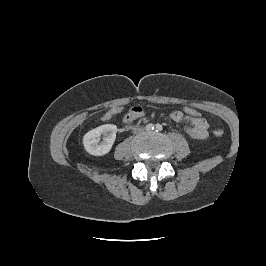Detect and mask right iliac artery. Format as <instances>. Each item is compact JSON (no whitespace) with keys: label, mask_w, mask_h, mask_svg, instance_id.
Here are the masks:
<instances>
[{"label":"right iliac artery","mask_w":266,"mask_h":266,"mask_svg":"<svg viewBox=\"0 0 266 266\" xmlns=\"http://www.w3.org/2000/svg\"><path fill=\"white\" fill-rule=\"evenodd\" d=\"M146 129L148 130V131H151V130H153L154 129V125L153 124H147L146 125Z\"/></svg>","instance_id":"right-iliac-artery-1"}]
</instances>
